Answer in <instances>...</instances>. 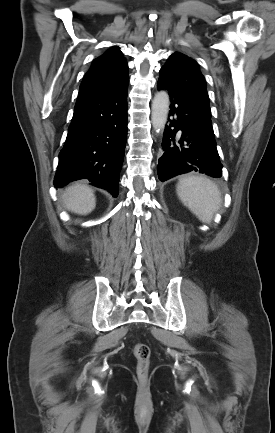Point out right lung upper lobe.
<instances>
[{
    "mask_svg": "<svg viewBox=\"0 0 275 433\" xmlns=\"http://www.w3.org/2000/svg\"><path fill=\"white\" fill-rule=\"evenodd\" d=\"M128 82L127 62L118 47H111L93 61L80 85L77 102L100 93L121 91L128 87Z\"/></svg>",
    "mask_w": 275,
    "mask_h": 433,
    "instance_id": "cb5924a9",
    "label": "right lung upper lobe"
}]
</instances>
